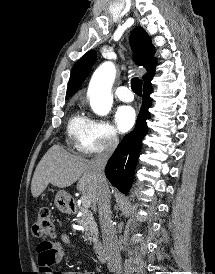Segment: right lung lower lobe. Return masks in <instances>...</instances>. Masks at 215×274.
Returning a JSON list of instances; mask_svg holds the SVG:
<instances>
[{
	"instance_id": "obj_1",
	"label": "right lung lower lobe",
	"mask_w": 215,
	"mask_h": 274,
	"mask_svg": "<svg viewBox=\"0 0 215 274\" xmlns=\"http://www.w3.org/2000/svg\"><path fill=\"white\" fill-rule=\"evenodd\" d=\"M150 93H152L151 83L145 84L143 102L135 129L123 138L105 168L108 180L124 194H127L131 187L142 139L148 130L146 120L150 117L148 111L152 103Z\"/></svg>"
}]
</instances>
